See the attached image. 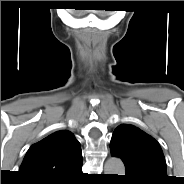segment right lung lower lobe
<instances>
[{
  "label": "right lung lower lobe",
  "instance_id": "98d812e1",
  "mask_svg": "<svg viewBox=\"0 0 184 184\" xmlns=\"http://www.w3.org/2000/svg\"><path fill=\"white\" fill-rule=\"evenodd\" d=\"M82 174V164L73 170L67 177L52 182H35V184H75L77 178Z\"/></svg>",
  "mask_w": 184,
  "mask_h": 184
}]
</instances>
